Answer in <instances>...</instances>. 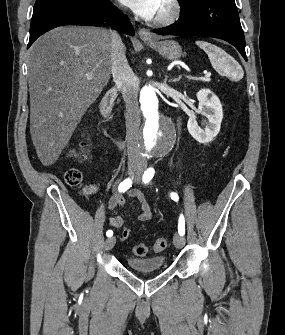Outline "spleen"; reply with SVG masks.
<instances>
[{
    "label": "spleen",
    "mask_w": 285,
    "mask_h": 335,
    "mask_svg": "<svg viewBox=\"0 0 285 335\" xmlns=\"http://www.w3.org/2000/svg\"><path fill=\"white\" fill-rule=\"evenodd\" d=\"M195 44L206 52L215 70H218V68H227V54L224 50L217 48V46H212V44H208V42H195Z\"/></svg>",
    "instance_id": "1"
}]
</instances>
